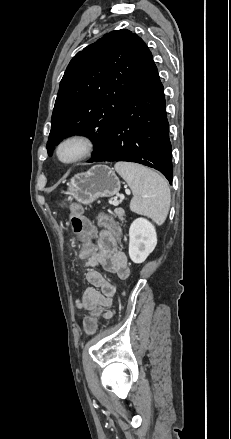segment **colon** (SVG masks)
I'll return each instance as SVG.
<instances>
[{"mask_svg":"<svg viewBox=\"0 0 231 439\" xmlns=\"http://www.w3.org/2000/svg\"><path fill=\"white\" fill-rule=\"evenodd\" d=\"M68 206L71 211L70 224L73 232L80 235L85 244H88L93 235V227L90 221L81 214L79 208L75 204L69 203ZM96 221L99 226L111 229L116 236L120 238V228L115 221L103 214L97 215ZM93 255L92 250H85L84 254L80 256L79 262L81 264L87 263L93 258ZM107 308L108 307L105 304L102 305V307L99 304L89 307V316L84 320V329L88 334H93L95 332L97 322H99L100 317L105 315V310H107Z\"/></svg>","mask_w":231,"mask_h":439,"instance_id":"obj_1","label":"colon"}]
</instances>
